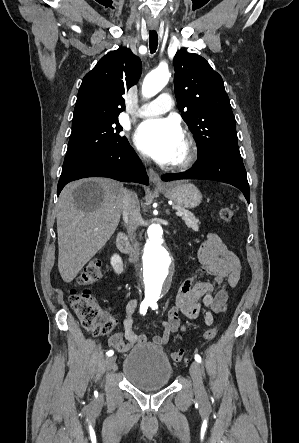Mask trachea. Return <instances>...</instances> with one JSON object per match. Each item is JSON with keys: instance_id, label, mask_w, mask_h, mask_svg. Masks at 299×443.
<instances>
[{"instance_id": "obj_1", "label": "trachea", "mask_w": 299, "mask_h": 443, "mask_svg": "<svg viewBox=\"0 0 299 443\" xmlns=\"http://www.w3.org/2000/svg\"><path fill=\"white\" fill-rule=\"evenodd\" d=\"M158 46V35L156 31H150L149 32V48L151 54H153Z\"/></svg>"}]
</instances>
